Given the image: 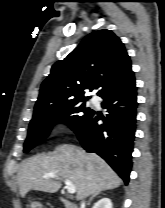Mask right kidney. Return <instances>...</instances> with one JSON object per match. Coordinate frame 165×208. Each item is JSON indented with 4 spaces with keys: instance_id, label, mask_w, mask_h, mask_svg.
I'll return each mask as SVG.
<instances>
[{
    "instance_id": "obj_1",
    "label": "right kidney",
    "mask_w": 165,
    "mask_h": 208,
    "mask_svg": "<svg viewBox=\"0 0 165 208\" xmlns=\"http://www.w3.org/2000/svg\"><path fill=\"white\" fill-rule=\"evenodd\" d=\"M92 208H112V202L109 198H102Z\"/></svg>"
}]
</instances>
